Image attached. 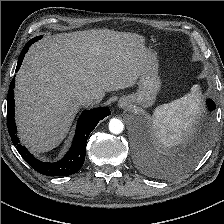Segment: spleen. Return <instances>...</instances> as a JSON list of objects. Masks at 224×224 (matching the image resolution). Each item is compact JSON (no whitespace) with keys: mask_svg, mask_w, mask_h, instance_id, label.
I'll list each match as a JSON object with an SVG mask.
<instances>
[{"mask_svg":"<svg viewBox=\"0 0 224 224\" xmlns=\"http://www.w3.org/2000/svg\"><path fill=\"white\" fill-rule=\"evenodd\" d=\"M200 86L193 85L191 92L154 111L152 126L155 137L164 146L181 143L195 132L202 113Z\"/></svg>","mask_w":224,"mask_h":224,"instance_id":"spleen-1","label":"spleen"}]
</instances>
